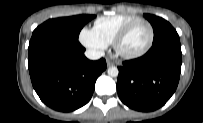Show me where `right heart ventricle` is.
Wrapping results in <instances>:
<instances>
[{
	"mask_svg": "<svg viewBox=\"0 0 203 123\" xmlns=\"http://www.w3.org/2000/svg\"><path fill=\"white\" fill-rule=\"evenodd\" d=\"M140 19L134 15L118 14L104 16L96 19L93 30L96 35L106 44H111L116 35L129 23Z\"/></svg>",
	"mask_w": 203,
	"mask_h": 123,
	"instance_id": "obj_1",
	"label": "right heart ventricle"
}]
</instances>
